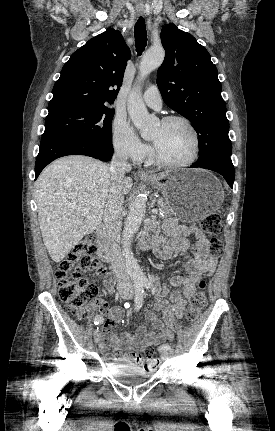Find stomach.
I'll return each mask as SVG.
<instances>
[{
	"label": "stomach",
	"mask_w": 275,
	"mask_h": 431,
	"mask_svg": "<svg viewBox=\"0 0 275 431\" xmlns=\"http://www.w3.org/2000/svg\"><path fill=\"white\" fill-rule=\"evenodd\" d=\"M145 180L161 191L172 214L183 222L199 221L218 210L223 202L220 182L202 169L166 171Z\"/></svg>",
	"instance_id": "1"
}]
</instances>
